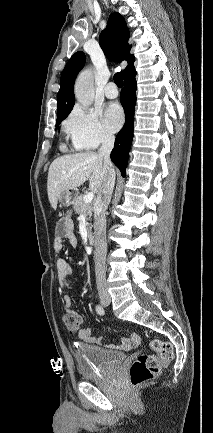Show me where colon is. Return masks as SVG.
<instances>
[{
	"instance_id": "obj_1",
	"label": "colon",
	"mask_w": 213,
	"mask_h": 433,
	"mask_svg": "<svg viewBox=\"0 0 213 433\" xmlns=\"http://www.w3.org/2000/svg\"><path fill=\"white\" fill-rule=\"evenodd\" d=\"M62 321L70 334H75L81 329L82 318L76 311L65 312ZM148 346L155 354L138 356L130 367V383L133 387L141 386L155 378L174 358L173 346L167 341L153 339Z\"/></svg>"
}]
</instances>
